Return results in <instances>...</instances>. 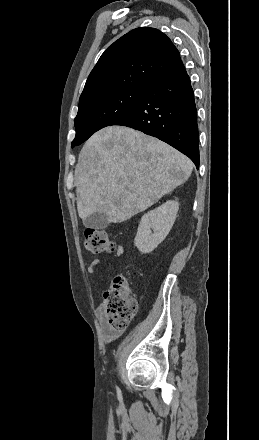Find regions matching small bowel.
<instances>
[{
	"mask_svg": "<svg viewBox=\"0 0 259 440\" xmlns=\"http://www.w3.org/2000/svg\"><path fill=\"white\" fill-rule=\"evenodd\" d=\"M115 253H116L117 258L126 255L125 249L121 244H118L116 246ZM100 265H101V260L95 259L89 264L87 270L90 274H93L99 269ZM96 313H97V317L100 322V326H101V330H102L103 338H104L105 342L109 343V342L117 339L122 334V330L115 329L108 324L106 316H105L104 307L102 304L97 307Z\"/></svg>",
	"mask_w": 259,
	"mask_h": 440,
	"instance_id": "small-bowel-1",
	"label": "small bowel"
}]
</instances>
